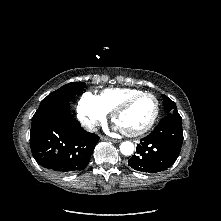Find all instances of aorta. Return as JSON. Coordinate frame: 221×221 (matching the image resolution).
Masks as SVG:
<instances>
[{
    "label": "aorta",
    "instance_id": "1",
    "mask_svg": "<svg viewBox=\"0 0 221 221\" xmlns=\"http://www.w3.org/2000/svg\"><path fill=\"white\" fill-rule=\"evenodd\" d=\"M120 151L125 156H130L134 152V145L130 141L122 142L120 145Z\"/></svg>",
    "mask_w": 221,
    "mask_h": 221
}]
</instances>
